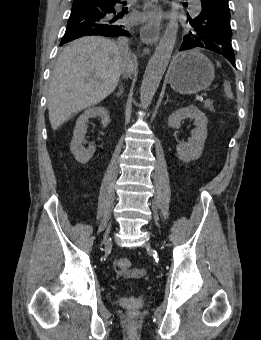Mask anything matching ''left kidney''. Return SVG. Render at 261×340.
<instances>
[{"instance_id":"obj_1","label":"left kidney","mask_w":261,"mask_h":340,"mask_svg":"<svg viewBox=\"0 0 261 340\" xmlns=\"http://www.w3.org/2000/svg\"><path fill=\"white\" fill-rule=\"evenodd\" d=\"M185 118L195 119L196 128L192 131V138L188 142H179L176 149L178 158L184 162H189L198 159L203 152L207 138L208 119L196 106L190 105L172 113L168 118V126L179 129L181 121Z\"/></svg>"}]
</instances>
